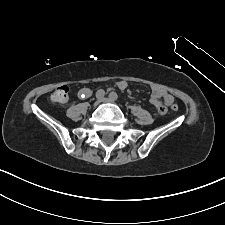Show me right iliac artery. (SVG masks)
Instances as JSON below:
<instances>
[{
    "label": "right iliac artery",
    "instance_id": "82829eb1",
    "mask_svg": "<svg viewBox=\"0 0 225 225\" xmlns=\"http://www.w3.org/2000/svg\"><path fill=\"white\" fill-rule=\"evenodd\" d=\"M104 95H105V91L102 90V89H100V90H98V91L96 92V98H97V99H102V98L104 97ZM82 97H83V95H82Z\"/></svg>",
    "mask_w": 225,
    "mask_h": 225
}]
</instances>
